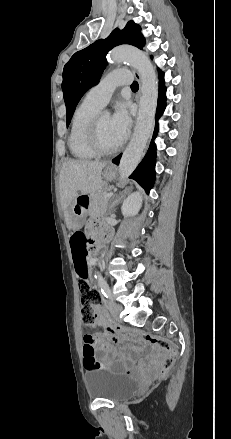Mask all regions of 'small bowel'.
Returning <instances> with one entry per match:
<instances>
[{
    "label": "small bowel",
    "mask_w": 231,
    "mask_h": 439,
    "mask_svg": "<svg viewBox=\"0 0 231 439\" xmlns=\"http://www.w3.org/2000/svg\"><path fill=\"white\" fill-rule=\"evenodd\" d=\"M85 238L86 237L83 234H78ZM90 242L92 241V236L89 238ZM71 245V251H72V257L74 260V263L76 267L79 264L86 265V257H87V250L89 248V244L87 249L84 251L83 246L84 244L81 243L80 252L78 255H76L75 252V244L73 240L71 239L70 242ZM96 317L99 321L104 322L107 328V333L105 334H96V335H85L84 336V342H83V354L86 355L87 351H92L94 353V356L96 358V353L99 352L102 354V357L99 359V363L101 364V368H112L117 371H124L128 374H137L140 371H136L132 368V363L129 362L127 364H124L121 360L116 359L112 362L107 361V357L112 355L116 356V350L113 346V340L115 339L112 336V332L110 331L109 327L113 324L111 318L109 317L108 313L106 312L105 308L103 306H99L96 309ZM97 360V359H96Z\"/></svg>",
    "instance_id": "c3829d8e"
}]
</instances>
